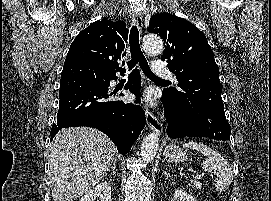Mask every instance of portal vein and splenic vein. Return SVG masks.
I'll use <instances>...</instances> for the list:
<instances>
[{"instance_id":"1","label":"portal vein and splenic vein","mask_w":271,"mask_h":201,"mask_svg":"<svg viewBox=\"0 0 271 201\" xmlns=\"http://www.w3.org/2000/svg\"><path fill=\"white\" fill-rule=\"evenodd\" d=\"M193 178H194V179H201L202 176H201V175H193Z\"/></svg>"}]
</instances>
